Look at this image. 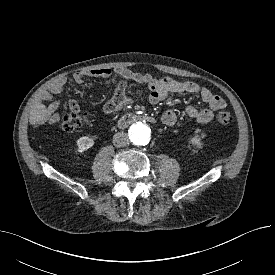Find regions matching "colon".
Instances as JSON below:
<instances>
[{"label": "colon", "instance_id": "1", "mask_svg": "<svg viewBox=\"0 0 275 275\" xmlns=\"http://www.w3.org/2000/svg\"><path fill=\"white\" fill-rule=\"evenodd\" d=\"M85 115L81 112L70 111L63 116L60 129L65 133L79 129L85 122ZM217 121L222 125H228L233 121V116L228 109H222L217 113Z\"/></svg>", "mask_w": 275, "mask_h": 275}]
</instances>
